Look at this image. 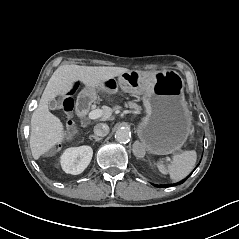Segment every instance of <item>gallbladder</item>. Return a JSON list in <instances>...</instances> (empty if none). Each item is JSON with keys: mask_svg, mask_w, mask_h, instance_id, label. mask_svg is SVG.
<instances>
[{"mask_svg": "<svg viewBox=\"0 0 239 239\" xmlns=\"http://www.w3.org/2000/svg\"><path fill=\"white\" fill-rule=\"evenodd\" d=\"M48 108L50 110H57L59 108V104L56 99H51L48 101Z\"/></svg>", "mask_w": 239, "mask_h": 239, "instance_id": "1", "label": "gallbladder"}]
</instances>
